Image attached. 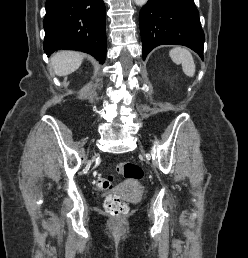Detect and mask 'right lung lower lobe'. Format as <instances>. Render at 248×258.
Returning <instances> with one entry per match:
<instances>
[{"instance_id":"1","label":"right lung lower lobe","mask_w":248,"mask_h":258,"mask_svg":"<svg viewBox=\"0 0 248 258\" xmlns=\"http://www.w3.org/2000/svg\"><path fill=\"white\" fill-rule=\"evenodd\" d=\"M44 51L72 49L106 57V10L103 0H47Z\"/></svg>"}]
</instances>
